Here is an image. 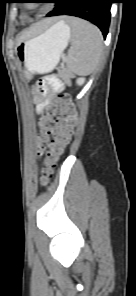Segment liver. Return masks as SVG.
Returning <instances> with one entry per match:
<instances>
[{"instance_id": "obj_1", "label": "liver", "mask_w": 136, "mask_h": 296, "mask_svg": "<svg viewBox=\"0 0 136 296\" xmlns=\"http://www.w3.org/2000/svg\"><path fill=\"white\" fill-rule=\"evenodd\" d=\"M51 22V20H44L40 23L35 24L34 26L30 27L29 29H27L26 31L23 32V34L21 35L20 39H24L32 34H35L36 32L40 31L41 29H43L46 25H48Z\"/></svg>"}]
</instances>
